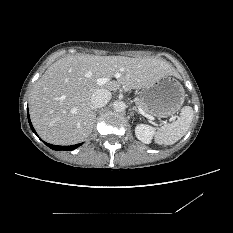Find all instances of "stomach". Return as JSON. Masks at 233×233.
Listing matches in <instances>:
<instances>
[{
    "label": "stomach",
    "mask_w": 233,
    "mask_h": 233,
    "mask_svg": "<svg viewBox=\"0 0 233 233\" xmlns=\"http://www.w3.org/2000/svg\"><path fill=\"white\" fill-rule=\"evenodd\" d=\"M140 99L150 114L164 118L181 108L185 100V91L177 79L165 76L153 85L143 88Z\"/></svg>",
    "instance_id": "1"
}]
</instances>
